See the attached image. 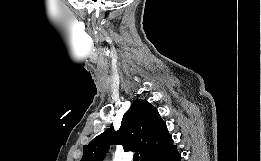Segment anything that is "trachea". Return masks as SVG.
<instances>
[{
  "label": "trachea",
  "instance_id": "1",
  "mask_svg": "<svg viewBox=\"0 0 261 161\" xmlns=\"http://www.w3.org/2000/svg\"><path fill=\"white\" fill-rule=\"evenodd\" d=\"M139 160V155L138 153H134V159L133 161H138Z\"/></svg>",
  "mask_w": 261,
  "mask_h": 161
}]
</instances>
